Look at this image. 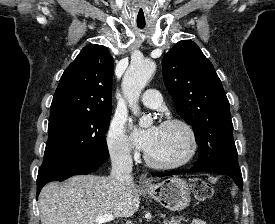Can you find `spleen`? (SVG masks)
I'll return each mask as SVG.
<instances>
[{
    "mask_svg": "<svg viewBox=\"0 0 275 224\" xmlns=\"http://www.w3.org/2000/svg\"><path fill=\"white\" fill-rule=\"evenodd\" d=\"M234 212H235L236 218H237V217H238V213H239V208H238V206L235 207Z\"/></svg>",
    "mask_w": 275,
    "mask_h": 224,
    "instance_id": "spleen-1",
    "label": "spleen"
}]
</instances>
